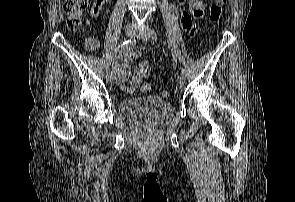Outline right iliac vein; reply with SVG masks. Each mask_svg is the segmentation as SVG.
<instances>
[{
	"label": "right iliac vein",
	"instance_id": "right-iliac-vein-1",
	"mask_svg": "<svg viewBox=\"0 0 295 202\" xmlns=\"http://www.w3.org/2000/svg\"><path fill=\"white\" fill-rule=\"evenodd\" d=\"M136 31V28L133 24H129L126 29H125V36L126 37H131ZM106 78L109 82H113L115 79V74L113 71H107L106 73Z\"/></svg>",
	"mask_w": 295,
	"mask_h": 202
}]
</instances>
